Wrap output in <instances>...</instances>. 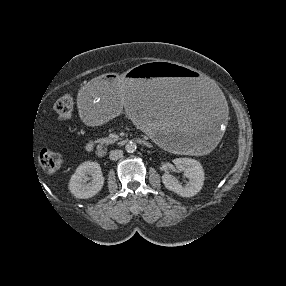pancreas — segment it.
I'll list each match as a JSON object with an SVG mask.
<instances>
[{"mask_svg": "<svg viewBox=\"0 0 286 286\" xmlns=\"http://www.w3.org/2000/svg\"><path fill=\"white\" fill-rule=\"evenodd\" d=\"M119 138L118 137H114V138H102V139H98L97 142L100 144H112L115 143Z\"/></svg>", "mask_w": 286, "mask_h": 286, "instance_id": "cf45deb5", "label": "pancreas"}]
</instances>
